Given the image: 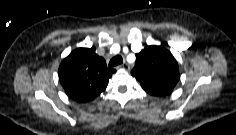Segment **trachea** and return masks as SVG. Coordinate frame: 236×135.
Masks as SVG:
<instances>
[{"label": "trachea", "instance_id": "trachea-1", "mask_svg": "<svg viewBox=\"0 0 236 135\" xmlns=\"http://www.w3.org/2000/svg\"><path fill=\"white\" fill-rule=\"evenodd\" d=\"M123 63V58L119 55L113 57L110 62H109V66L113 67V66H117Z\"/></svg>", "mask_w": 236, "mask_h": 135}]
</instances>
